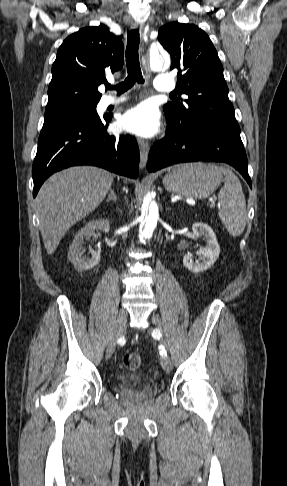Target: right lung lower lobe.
I'll return each mask as SVG.
<instances>
[{"label":"right lung lower lobe","instance_id":"98d812e1","mask_svg":"<svg viewBox=\"0 0 287 486\" xmlns=\"http://www.w3.org/2000/svg\"><path fill=\"white\" fill-rule=\"evenodd\" d=\"M112 116L93 117L42 129L32 168L35 197L54 172L75 165H94L117 174L137 178L139 148L131 135L107 133Z\"/></svg>","mask_w":287,"mask_h":486}]
</instances>
